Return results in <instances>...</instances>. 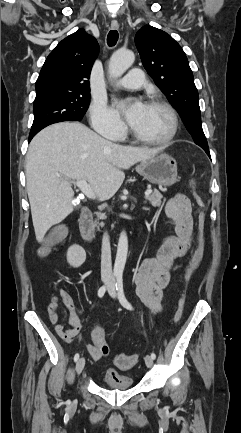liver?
I'll list each match as a JSON object with an SVG mask.
<instances>
[{
  "mask_svg": "<svg viewBox=\"0 0 241 433\" xmlns=\"http://www.w3.org/2000/svg\"><path fill=\"white\" fill-rule=\"evenodd\" d=\"M161 150L112 143L78 122L57 123L40 131L29 145L25 166L37 241L73 212L71 180L87 181L100 201L108 200L121 187L124 169Z\"/></svg>",
  "mask_w": 241,
  "mask_h": 433,
  "instance_id": "1",
  "label": "liver"
}]
</instances>
